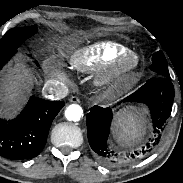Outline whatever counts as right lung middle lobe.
Segmentation results:
<instances>
[{"instance_id":"right-lung-middle-lobe-1","label":"right lung middle lobe","mask_w":183,"mask_h":183,"mask_svg":"<svg viewBox=\"0 0 183 183\" xmlns=\"http://www.w3.org/2000/svg\"><path fill=\"white\" fill-rule=\"evenodd\" d=\"M36 32L37 27L35 25L9 30L0 40V57L15 52L26 39Z\"/></svg>"}]
</instances>
